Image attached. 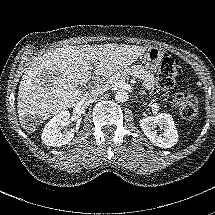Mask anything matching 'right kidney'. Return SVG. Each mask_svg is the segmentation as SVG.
<instances>
[{
    "label": "right kidney",
    "instance_id": "right-kidney-1",
    "mask_svg": "<svg viewBox=\"0 0 215 215\" xmlns=\"http://www.w3.org/2000/svg\"><path fill=\"white\" fill-rule=\"evenodd\" d=\"M70 112L61 111L46 123L41 139L45 145L60 147L68 144L74 138V131L68 130L61 133V129L69 124Z\"/></svg>",
    "mask_w": 215,
    "mask_h": 215
}]
</instances>
